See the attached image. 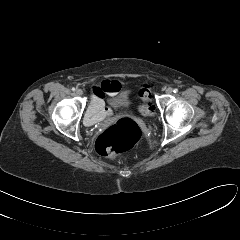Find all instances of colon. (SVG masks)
Returning a JSON list of instances; mask_svg holds the SVG:
<instances>
[{"label": "colon", "instance_id": "colon-1", "mask_svg": "<svg viewBox=\"0 0 240 240\" xmlns=\"http://www.w3.org/2000/svg\"><path fill=\"white\" fill-rule=\"evenodd\" d=\"M139 96L145 102L140 111L144 115H151L154 106L149 102L151 95L148 86L139 91ZM141 138V128L129 118L117 120L113 125L98 136L95 148L98 154L109 158H116L121 153L131 149Z\"/></svg>", "mask_w": 240, "mask_h": 240}]
</instances>
